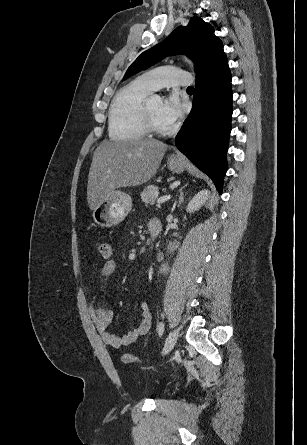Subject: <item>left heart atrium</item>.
<instances>
[{
    "instance_id": "1",
    "label": "left heart atrium",
    "mask_w": 307,
    "mask_h": 445,
    "mask_svg": "<svg viewBox=\"0 0 307 445\" xmlns=\"http://www.w3.org/2000/svg\"><path fill=\"white\" fill-rule=\"evenodd\" d=\"M183 113V105L179 98L178 93L170 92L163 100L162 114L164 119L170 123L174 124Z\"/></svg>"
}]
</instances>
